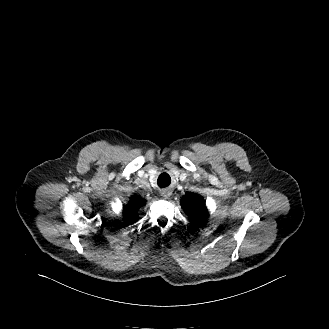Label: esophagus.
<instances>
[{"mask_svg": "<svg viewBox=\"0 0 329 329\" xmlns=\"http://www.w3.org/2000/svg\"><path fill=\"white\" fill-rule=\"evenodd\" d=\"M172 192L168 189L162 191L161 195L165 198L168 199L171 196Z\"/></svg>", "mask_w": 329, "mask_h": 329, "instance_id": "1", "label": "esophagus"}]
</instances>
